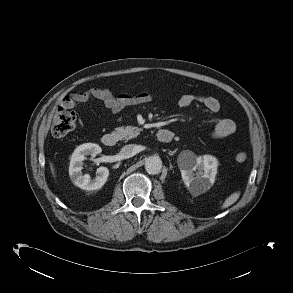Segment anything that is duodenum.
<instances>
[{
	"instance_id": "duodenum-1",
	"label": "duodenum",
	"mask_w": 293,
	"mask_h": 293,
	"mask_svg": "<svg viewBox=\"0 0 293 293\" xmlns=\"http://www.w3.org/2000/svg\"><path fill=\"white\" fill-rule=\"evenodd\" d=\"M156 136L157 139L163 143H167L172 140V133L167 129L159 130ZM101 141L106 147H114L118 142V137L115 133L109 132L102 136Z\"/></svg>"
}]
</instances>
